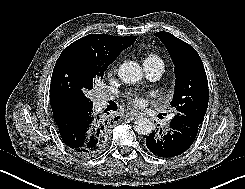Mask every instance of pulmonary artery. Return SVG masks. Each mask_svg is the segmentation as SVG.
<instances>
[{
	"instance_id": "pulmonary-artery-1",
	"label": "pulmonary artery",
	"mask_w": 245,
	"mask_h": 189,
	"mask_svg": "<svg viewBox=\"0 0 245 189\" xmlns=\"http://www.w3.org/2000/svg\"><path fill=\"white\" fill-rule=\"evenodd\" d=\"M144 70L147 75V77L150 80H157L161 77V75L164 72V66L163 65H149V64H143ZM118 96H113L112 98H116ZM106 104V100L104 99L102 102V105Z\"/></svg>"
}]
</instances>
